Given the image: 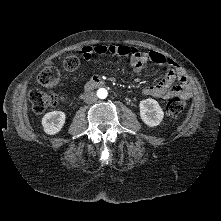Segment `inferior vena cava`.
<instances>
[{"label":"inferior vena cava","instance_id":"602c4592","mask_svg":"<svg viewBox=\"0 0 221 221\" xmlns=\"http://www.w3.org/2000/svg\"><path fill=\"white\" fill-rule=\"evenodd\" d=\"M84 101H85L86 103H88V104L97 101V95H96V93H95V92H92V91L85 93V94H84Z\"/></svg>","mask_w":221,"mask_h":221}]
</instances>
